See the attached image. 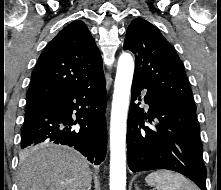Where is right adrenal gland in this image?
<instances>
[{"label":"right adrenal gland","mask_w":221,"mask_h":190,"mask_svg":"<svg viewBox=\"0 0 221 190\" xmlns=\"http://www.w3.org/2000/svg\"><path fill=\"white\" fill-rule=\"evenodd\" d=\"M91 187H92V186L90 185V186L87 188V190H91Z\"/></svg>","instance_id":"1"}]
</instances>
